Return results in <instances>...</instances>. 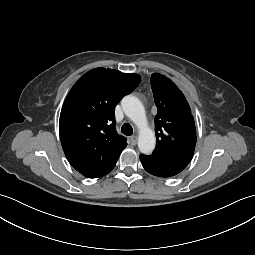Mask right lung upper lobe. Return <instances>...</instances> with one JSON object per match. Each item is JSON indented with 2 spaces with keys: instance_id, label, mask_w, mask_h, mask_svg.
Segmentation results:
<instances>
[{
  "instance_id": "cb5924a9",
  "label": "right lung upper lobe",
  "mask_w": 255,
  "mask_h": 255,
  "mask_svg": "<svg viewBox=\"0 0 255 255\" xmlns=\"http://www.w3.org/2000/svg\"><path fill=\"white\" fill-rule=\"evenodd\" d=\"M138 74L95 68L68 93L59 120V134L69 163L87 178L109 173L127 146L115 129V106L140 83Z\"/></svg>"
}]
</instances>
